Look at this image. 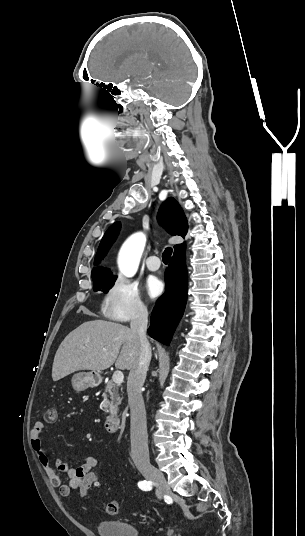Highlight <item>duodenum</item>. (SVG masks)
<instances>
[{"label":"duodenum","instance_id":"duodenum-1","mask_svg":"<svg viewBox=\"0 0 305 536\" xmlns=\"http://www.w3.org/2000/svg\"><path fill=\"white\" fill-rule=\"evenodd\" d=\"M104 429L108 433H116L120 429V421L116 414L110 413L104 420Z\"/></svg>","mask_w":305,"mask_h":536}]
</instances>
